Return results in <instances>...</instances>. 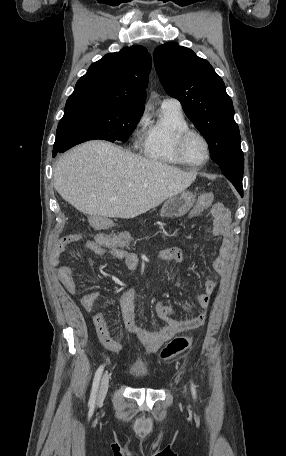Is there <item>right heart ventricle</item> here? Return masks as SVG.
Returning <instances> with one entry per match:
<instances>
[{
  "label": "right heart ventricle",
  "mask_w": 286,
  "mask_h": 456,
  "mask_svg": "<svg viewBox=\"0 0 286 456\" xmlns=\"http://www.w3.org/2000/svg\"><path fill=\"white\" fill-rule=\"evenodd\" d=\"M189 128L182 110L161 106L158 117L146 124L140 149L150 161L167 165H184L174 151L176 134Z\"/></svg>",
  "instance_id": "e07e8e85"
}]
</instances>
